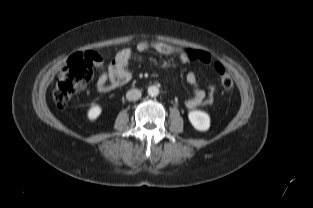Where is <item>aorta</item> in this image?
Wrapping results in <instances>:
<instances>
[{
    "label": "aorta",
    "instance_id": "762f6f07",
    "mask_svg": "<svg viewBox=\"0 0 313 208\" xmlns=\"http://www.w3.org/2000/svg\"><path fill=\"white\" fill-rule=\"evenodd\" d=\"M148 94L152 97H155L159 94V89L157 86H150L148 88Z\"/></svg>",
    "mask_w": 313,
    "mask_h": 208
}]
</instances>
